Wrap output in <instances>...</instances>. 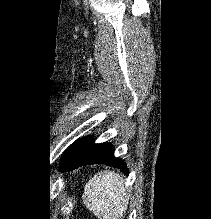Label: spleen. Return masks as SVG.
<instances>
[{"label": "spleen", "mask_w": 211, "mask_h": 219, "mask_svg": "<svg viewBox=\"0 0 211 219\" xmlns=\"http://www.w3.org/2000/svg\"><path fill=\"white\" fill-rule=\"evenodd\" d=\"M82 199L98 219H121L127 210L129 195L118 173L104 171L89 179Z\"/></svg>", "instance_id": "obj_1"}]
</instances>
